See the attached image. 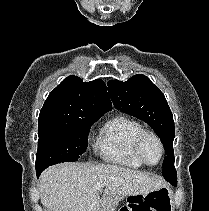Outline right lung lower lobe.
<instances>
[{
  "mask_svg": "<svg viewBox=\"0 0 209 211\" xmlns=\"http://www.w3.org/2000/svg\"><path fill=\"white\" fill-rule=\"evenodd\" d=\"M41 172H42V169H36L37 177L40 175Z\"/></svg>",
  "mask_w": 209,
  "mask_h": 211,
  "instance_id": "98d812e1",
  "label": "right lung lower lobe"
}]
</instances>
